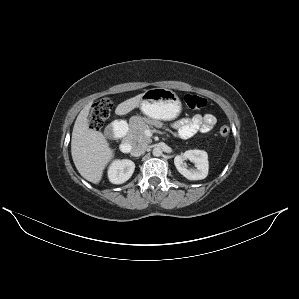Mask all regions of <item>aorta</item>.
Segmentation results:
<instances>
[{"label": "aorta", "mask_w": 299, "mask_h": 299, "mask_svg": "<svg viewBox=\"0 0 299 299\" xmlns=\"http://www.w3.org/2000/svg\"><path fill=\"white\" fill-rule=\"evenodd\" d=\"M152 153L154 156L159 157L162 155V149L160 147H155L153 148Z\"/></svg>", "instance_id": "aorta-1"}]
</instances>
